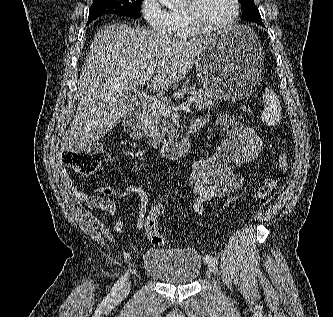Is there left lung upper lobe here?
Listing matches in <instances>:
<instances>
[{
    "label": "left lung upper lobe",
    "mask_w": 333,
    "mask_h": 317,
    "mask_svg": "<svg viewBox=\"0 0 333 317\" xmlns=\"http://www.w3.org/2000/svg\"><path fill=\"white\" fill-rule=\"evenodd\" d=\"M243 8V20L253 21L263 26L259 10L255 6L254 0H239Z\"/></svg>",
    "instance_id": "left-lung-upper-lobe-1"
}]
</instances>
